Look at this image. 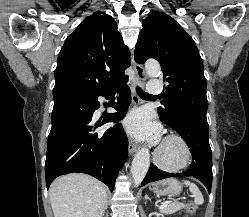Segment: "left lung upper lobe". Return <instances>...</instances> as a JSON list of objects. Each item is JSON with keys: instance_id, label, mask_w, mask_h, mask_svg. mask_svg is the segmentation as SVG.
Listing matches in <instances>:
<instances>
[{"instance_id": "5c2ea615", "label": "left lung upper lobe", "mask_w": 249, "mask_h": 217, "mask_svg": "<svg viewBox=\"0 0 249 217\" xmlns=\"http://www.w3.org/2000/svg\"><path fill=\"white\" fill-rule=\"evenodd\" d=\"M135 60L159 61L168 83L158 114L162 122L177 124L186 112L207 113L206 79L203 62L195 42L173 18L165 13H152L142 22Z\"/></svg>"}]
</instances>
